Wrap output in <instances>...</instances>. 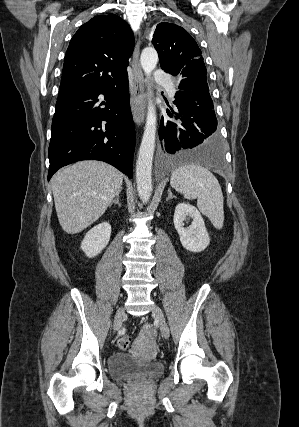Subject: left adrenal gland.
Here are the masks:
<instances>
[{
  "instance_id": "a2214340",
  "label": "left adrenal gland",
  "mask_w": 299,
  "mask_h": 427,
  "mask_svg": "<svg viewBox=\"0 0 299 427\" xmlns=\"http://www.w3.org/2000/svg\"><path fill=\"white\" fill-rule=\"evenodd\" d=\"M175 196H173V194H172V192H171V190L170 189H168V197H167V200H170V199H172V198H174Z\"/></svg>"
}]
</instances>
